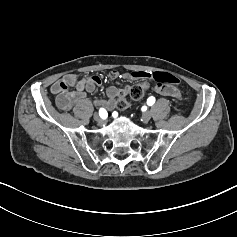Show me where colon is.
<instances>
[{"instance_id":"1","label":"colon","mask_w":237,"mask_h":237,"mask_svg":"<svg viewBox=\"0 0 237 237\" xmlns=\"http://www.w3.org/2000/svg\"><path fill=\"white\" fill-rule=\"evenodd\" d=\"M147 79H153L161 84H179L180 80L176 76L167 72L150 73ZM150 87L147 80H143L128 88L125 96L121 97L117 102V108L120 110L127 109L133 100L141 99Z\"/></svg>"}]
</instances>
